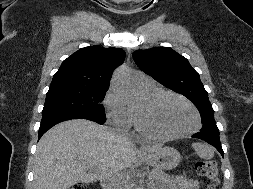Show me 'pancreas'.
Instances as JSON below:
<instances>
[{
    "mask_svg": "<svg viewBox=\"0 0 253 189\" xmlns=\"http://www.w3.org/2000/svg\"><path fill=\"white\" fill-rule=\"evenodd\" d=\"M151 174L154 185L156 186L168 184L170 181V176L160 169H153Z\"/></svg>",
    "mask_w": 253,
    "mask_h": 189,
    "instance_id": "obj_1",
    "label": "pancreas"
}]
</instances>
